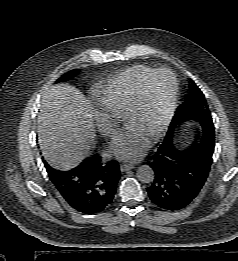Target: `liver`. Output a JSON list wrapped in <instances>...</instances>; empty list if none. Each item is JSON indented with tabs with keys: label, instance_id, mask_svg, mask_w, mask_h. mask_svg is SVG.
Segmentation results:
<instances>
[{
	"label": "liver",
	"instance_id": "6515ba94",
	"mask_svg": "<svg viewBox=\"0 0 238 261\" xmlns=\"http://www.w3.org/2000/svg\"><path fill=\"white\" fill-rule=\"evenodd\" d=\"M37 124L42 154L56 168L75 167L95 143L92 110L85 96L73 86L55 85L46 91Z\"/></svg>",
	"mask_w": 238,
	"mask_h": 261
}]
</instances>
